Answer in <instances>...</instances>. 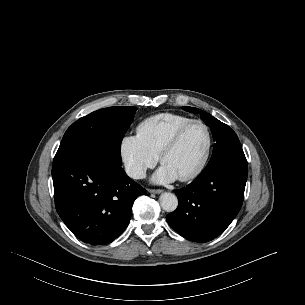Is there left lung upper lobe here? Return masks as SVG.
<instances>
[{"label":"left lung upper lobe","mask_w":305,"mask_h":305,"mask_svg":"<svg viewBox=\"0 0 305 305\" xmlns=\"http://www.w3.org/2000/svg\"><path fill=\"white\" fill-rule=\"evenodd\" d=\"M183 110L191 113H199L201 119L211 129L215 145L208 164L213 163L229 153L243 151L236 133L228 125L222 123L205 111H200L197 108L183 107Z\"/></svg>","instance_id":"obj_1"}]
</instances>
